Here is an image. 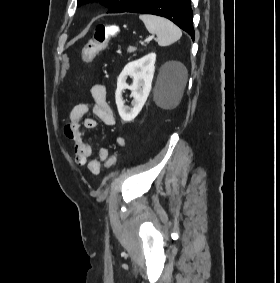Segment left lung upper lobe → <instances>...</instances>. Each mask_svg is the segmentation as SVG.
Masks as SVG:
<instances>
[{
	"mask_svg": "<svg viewBox=\"0 0 280 283\" xmlns=\"http://www.w3.org/2000/svg\"><path fill=\"white\" fill-rule=\"evenodd\" d=\"M96 0H78V6L87 2ZM102 5L108 7L107 13H121L127 11L140 0H99Z\"/></svg>",
	"mask_w": 280,
	"mask_h": 283,
	"instance_id": "5c2ea615",
	"label": "left lung upper lobe"
}]
</instances>
